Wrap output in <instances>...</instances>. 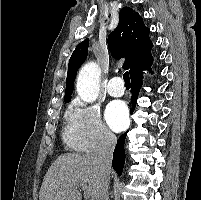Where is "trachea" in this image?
Returning a JSON list of instances; mask_svg holds the SVG:
<instances>
[{
	"label": "trachea",
	"instance_id": "1",
	"mask_svg": "<svg viewBox=\"0 0 201 200\" xmlns=\"http://www.w3.org/2000/svg\"><path fill=\"white\" fill-rule=\"evenodd\" d=\"M123 79H124V82H125V86H130V78H129V73L128 72L124 73Z\"/></svg>",
	"mask_w": 201,
	"mask_h": 200
}]
</instances>
